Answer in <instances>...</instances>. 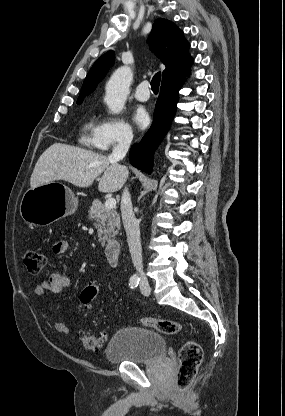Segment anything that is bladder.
I'll list each match as a JSON object with an SVG mask.
<instances>
[{"mask_svg":"<svg viewBox=\"0 0 285 416\" xmlns=\"http://www.w3.org/2000/svg\"><path fill=\"white\" fill-rule=\"evenodd\" d=\"M107 355L109 363H152L167 355L166 339L140 326L122 327L112 334Z\"/></svg>","mask_w":285,"mask_h":416,"instance_id":"bladder-1","label":"bladder"}]
</instances>
